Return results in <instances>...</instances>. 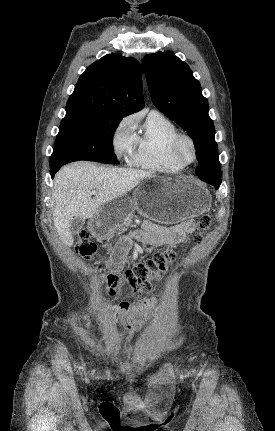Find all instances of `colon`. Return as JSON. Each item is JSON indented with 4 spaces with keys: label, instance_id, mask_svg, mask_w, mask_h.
I'll return each mask as SVG.
<instances>
[{
    "label": "colon",
    "instance_id": "colon-1",
    "mask_svg": "<svg viewBox=\"0 0 275 431\" xmlns=\"http://www.w3.org/2000/svg\"><path fill=\"white\" fill-rule=\"evenodd\" d=\"M211 217L203 215L198 219V227L201 231L209 229ZM196 242L200 243L201 236H196ZM77 252L83 257H91L96 253V244L83 234L76 246ZM176 254L173 250L155 253L149 260L136 264L121 275L101 274L100 281L105 284L110 296L120 295L122 288L127 285L133 292L142 289L148 292L152 282L164 274L168 266L174 261Z\"/></svg>",
    "mask_w": 275,
    "mask_h": 431
}]
</instances>
